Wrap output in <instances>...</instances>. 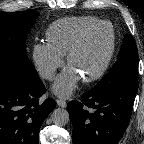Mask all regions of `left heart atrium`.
<instances>
[{
    "label": "left heart atrium",
    "instance_id": "left-heart-atrium-1",
    "mask_svg": "<svg viewBox=\"0 0 144 144\" xmlns=\"http://www.w3.org/2000/svg\"><path fill=\"white\" fill-rule=\"evenodd\" d=\"M79 80V74L69 66L57 77L53 85V91L58 96L67 97L76 88Z\"/></svg>",
    "mask_w": 144,
    "mask_h": 144
}]
</instances>
